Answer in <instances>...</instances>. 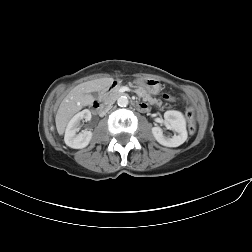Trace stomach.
Instances as JSON below:
<instances>
[{"label":"stomach","mask_w":252,"mask_h":252,"mask_svg":"<svg viewBox=\"0 0 252 252\" xmlns=\"http://www.w3.org/2000/svg\"><path fill=\"white\" fill-rule=\"evenodd\" d=\"M138 84L139 87L143 88L147 93L153 95L158 94L162 88L160 81L154 78L140 80Z\"/></svg>","instance_id":"1"}]
</instances>
